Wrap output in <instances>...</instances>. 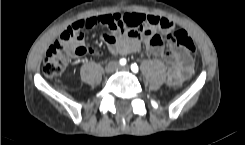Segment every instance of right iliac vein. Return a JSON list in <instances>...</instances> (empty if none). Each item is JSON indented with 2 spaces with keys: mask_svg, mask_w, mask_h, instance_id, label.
<instances>
[{
  "mask_svg": "<svg viewBox=\"0 0 245 145\" xmlns=\"http://www.w3.org/2000/svg\"><path fill=\"white\" fill-rule=\"evenodd\" d=\"M116 67H117V63L114 62V61H111V62H109V63L106 65L105 71H106L107 73H111V72H113V71L116 69Z\"/></svg>",
  "mask_w": 245,
  "mask_h": 145,
  "instance_id": "right-iliac-vein-1",
  "label": "right iliac vein"
}]
</instances>
